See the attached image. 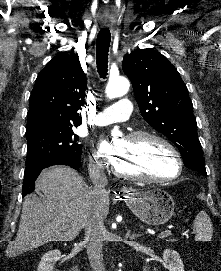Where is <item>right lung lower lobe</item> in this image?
<instances>
[{
    "instance_id": "obj_1",
    "label": "right lung lower lobe",
    "mask_w": 221,
    "mask_h": 271,
    "mask_svg": "<svg viewBox=\"0 0 221 271\" xmlns=\"http://www.w3.org/2000/svg\"><path fill=\"white\" fill-rule=\"evenodd\" d=\"M81 157L76 161H64V162H49V163H42L36 165L26 166L25 173H24V181H23V196L33 192L35 180L39 176L42 169L52 166V165H68L73 168H77L78 163L80 162Z\"/></svg>"
}]
</instances>
